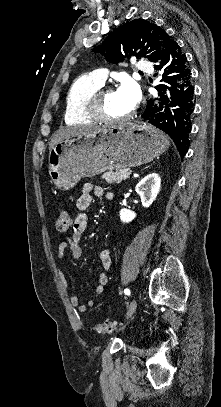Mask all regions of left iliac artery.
Masks as SVG:
<instances>
[{
	"mask_svg": "<svg viewBox=\"0 0 221 407\" xmlns=\"http://www.w3.org/2000/svg\"><path fill=\"white\" fill-rule=\"evenodd\" d=\"M124 293L129 296V295H130V290H129V289H125V290H124Z\"/></svg>",
	"mask_w": 221,
	"mask_h": 407,
	"instance_id": "left-iliac-artery-1",
	"label": "left iliac artery"
}]
</instances>
